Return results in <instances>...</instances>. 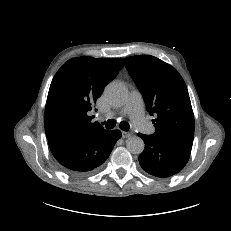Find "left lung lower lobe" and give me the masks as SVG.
<instances>
[{
    "label": "left lung lower lobe",
    "mask_w": 231,
    "mask_h": 231,
    "mask_svg": "<svg viewBox=\"0 0 231 231\" xmlns=\"http://www.w3.org/2000/svg\"><path fill=\"white\" fill-rule=\"evenodd\" d=\"M145 142L139 156L141 167L156 177H169L183 169L188 162L192 144L158 138L154 134L138 133Z\"/></svg>",
    "instance_id": "left-lung-lower-lobe-1"
}]
</instances>
